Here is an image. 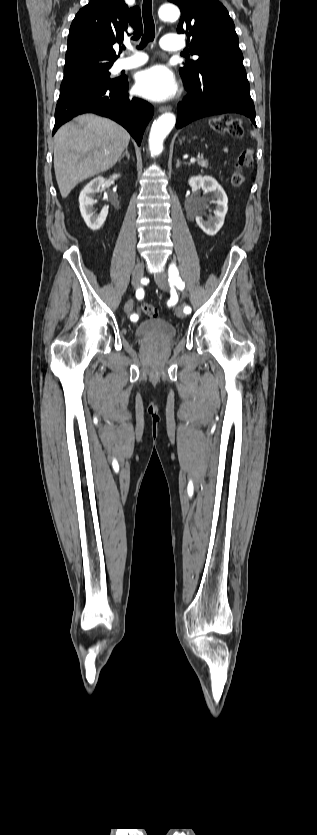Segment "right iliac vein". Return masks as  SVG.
Returning a JSON list of instances; mask_svg holds the SVG:
<instances>
[{
  "instance_id": "right-iliac-vein-1",
  "label": "right iliac vein",
  "mask_w": 317,
  "mask_h": 835,
  "mask_svg": "<svg viewBox=\"0 0 317 835\" xmlns=\"http://www.w3.org/2000/svg\"><path fill=\"white\" fill-rule=\"evenodd\" d=\"M143 274H144V263H143V262H138V263L135 265V267H134V269H133V273H132V284H133V286H134L135 288H139V286H140V281H141V279H142V277H143ZM129 302H131V300H130V301H128V302L125 304V306H124V311H125L127 314H128V313H130V311H131V309H132V306H130V308H128V307H127V304H128Z\"/></svg>"
}]
</instances>
